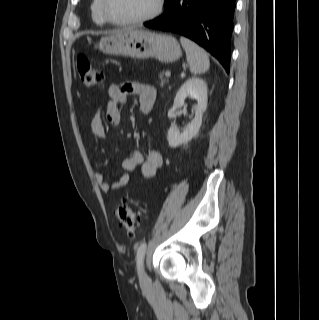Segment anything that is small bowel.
<instances>
[{
    "mask_svg": "<svg viewBox=\"0 0 319 320\" xmlns=\"http://www.w3.org/2000/svg\"><path fill=\"white\" fill-rule=\"evenodd\" d=\"M129 94L139 96V109L144 115L151 112L157 97V91L154 86L137 83L112 84L108 88L109 101L105 108V117L111 125L121 123V112L119 105L126 101ZM91 131L96 138H104L106 135L103 112L97 109L91 119ZM163 163V156L156 148H149L144 155L141 151H133L124 159L122 167L125 173L116 183L108 182L100 172L95 174V180L103 192H110L116 189H122L130 183V173L136 169L140 170L143 178L149 179L155 176L158 168Z\"/></svg>",
    "mask_w": 319,
    "mask_h": 320,
    "instance_id": "c3829d8e",
    "label": "small bowel"
}]
</instances>
